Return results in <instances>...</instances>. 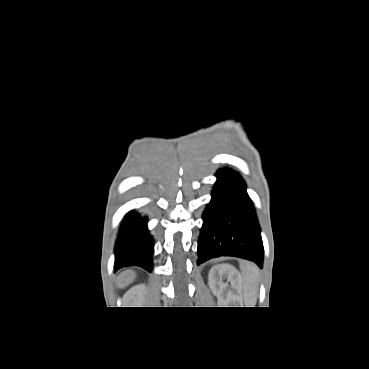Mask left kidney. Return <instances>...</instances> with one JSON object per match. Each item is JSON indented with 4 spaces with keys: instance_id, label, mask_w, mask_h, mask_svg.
Segmentation results:
<instances>
[{
    "instance_id": "1",
    "label": "left kidney",
    "mask_w": 369,
    "mask_h": 369,
    "mask_svg": "<svg viewBox=\"0 0 369 369\" xmlns=\"http://www.w3.org/2000/svg\"><path fill=\"white\" fill-rule=\"evenodd\" d=\"M227 277V282H230L232 288L236 293L239 292V284L241 281L238 271L229 265H219L211 268L208 276V284L213 294L220 297L223 290L226 288L227 283L222 282L223 277ZM231 298L237 299L236 295H232Z\"/></svg>"
}]
</instances>
